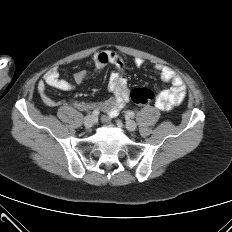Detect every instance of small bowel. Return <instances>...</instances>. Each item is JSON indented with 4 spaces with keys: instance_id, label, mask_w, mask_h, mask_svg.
I'll list each match as a JSON object with an SVG mask.
<instances>
[{
    "instance_id": "c3829d8e",
    "label": "small bowel",
    "mask_w": 232,
    "mask_h": 232,
    "mask_svg": "<svg viewBox=\"0 0 232 232\" xmlns=\"http://www.w3.org/2000/svg\"><path fill=\"white\" fill-rule=\"evenodd\" d=\"M109 64L115 67V70L109 77V89L113 94L112 97L99 102H71L72 106L80 111H103L105 113L103 121L105 122L116 116L129 100L128 80L124 75L126 64L119 54L114 51H99L92 58L93 71H99ZM134 64L136 67L141 68L144 65V61L141 58H136ZM154 70L159 73L165 82L171 84L169 89L160 92L155 105L163 111L171 110L184 100L186 96L185 83L174 70L167 66L156 64ZM90 74L91 71L89 70H80L74 73L73 82H69L60 78L57 68H52L44 75L43 80L38 83L37 89L47 106L56 107L58 102L47 94V86L60 91H71L76 84L84 82Z\"/></svg>"
}]
</instances>
